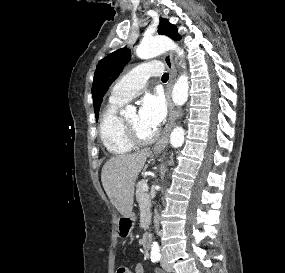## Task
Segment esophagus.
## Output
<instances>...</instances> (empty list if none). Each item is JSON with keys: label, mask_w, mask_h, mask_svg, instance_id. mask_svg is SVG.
<instances>
[{"label": "esophagus", "mask_w": 285, "mask_h": 273, "mask_svg": "<svg viewBox=\"0 0 285 273\" xmlns=\"http://www.w3.org/2000/svg\"><path fill=\"white\" fill-rule=\"evenodd\" d=\"M164 63L169 71L170 74V78H169V84L167 86V90H166V94H167V101H168V108H169V119H168V123L166 125V129H165V133L162 136V138L155 144L153 151L154 152H159L162 149L165 148L166 144L168 143V137H169V133L171 128L175 125L178 113L175 110L174 104L171 100V91H172V87L173 84L175 82L176 79V68L173 62V56L172 53L168 52L164 55Z\"/></svg>", "instance_id": "1"}]
</instances>
